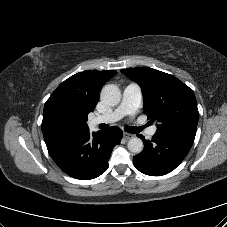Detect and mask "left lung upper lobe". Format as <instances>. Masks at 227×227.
Wrapping results in <instances>:
<instances>
[{"mask_svg": "<svg viewBox=\"0 0 227 227\" xmlns=\"http://www.w3.org/2000/svg\"><path fill=\"white\" fill-rule=\"evenodd\" d=\"M137 82L144 96L143 110L157 121V131L195 138L199 112L193 91L173 75L147 67L121 70Z\"/></svg>", "mask_w": 227, "mask_h": 227, "instance_id": "obj_1", "label": "left lung upper lobe"}]
</instances>
